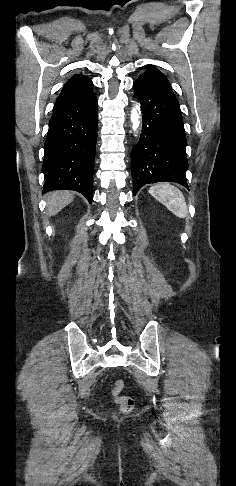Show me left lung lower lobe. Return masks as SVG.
I'll return each mask as SVG.
<instances>
[{
  "label": "left lung lower lobe",
  "instance_id": "obj_1",
  "mask_svg": "<svg viewBox=\"0 0 236 486\" xmlns=\"http://www.w3.org/2000/svg\"><path fill=\"white\" fill-rule=\"evenodd\" d=\"M133 86L143 113L140 140L131 152L133 194L146 184L162 181L188 188L186 136L177 98L143 77Z\"/></svg>",
  "mask_w": 236,
  "mask_h": 486
}]
</instances>
